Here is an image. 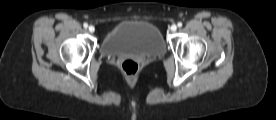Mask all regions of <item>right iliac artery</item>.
<instances>
[{
  "mask_svg": "<svg viewBox=\"0 0 276 120\" xmlns=\"http://www.w3.org/2000/svg\"><path fill=\"white\" fill-rule=\"evenodd\" d=\"M83 27H84V28H87V27H88V24H87V23H84V24H83Z\"/></svg>",
  "mask_w": 276,
  "mask_h": 120,
  "instance_id": "right-iliac-artery-1",
  "label": "right iliac artery"
}]
</instances>
